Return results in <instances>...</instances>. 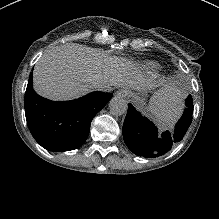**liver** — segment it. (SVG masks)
Here are the masks:
<instances>
[{
  "label": "liver",
  "instance_id": "liver-1",
  "mask_svg": "<svg viewBox=\"0 0 219 219\" xmlns=\"http://www.w3.org/2000/svg\"><path fill=\"white\" fill-rule=\"evenodd\" d=\"M96 52L84 46H72L43 57L34 72L35 88L43 96L56 99L77 98L94 90L93 80L110 78L104 72ZM113 85L126 86L122 77L110 79Z\"/></svg>",
  "mask_w": 219,
  "mask_h": 219
}]
</instances>
